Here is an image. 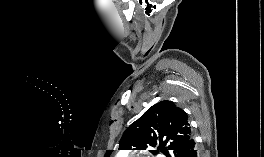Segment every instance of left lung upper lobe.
<instances>
[{"mask_svg":"<svg viewBox=\"0 0 264 157\" xmlns=\"http://www.w3.org/2000/svg\"><path fill=\"white\" fill-rule=\"evenodd\" d=\"M192 139V131L187 114L173 102L164 100L150 107L124 132L120 150L161 151L166 157H181L182 149ZM107 150L104 157H110Z\"/></svg>","mask_w":264,"mask_h":157,"instance_id":"obj_1","label":"left lung upper lobe"}]
</instances>
